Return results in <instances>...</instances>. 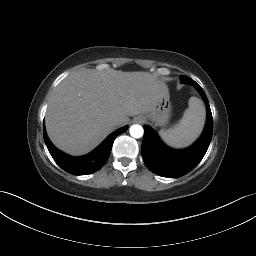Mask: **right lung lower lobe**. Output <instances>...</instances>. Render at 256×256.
Returning <instances> with one entry per match:
<instances>
[{"mask_svg": "<svg viewBox=\"0 0 256 256\" xmlns=\"http://www.w3.org/2000/svg\"><path fill=\"white\" fill-rule=\"evenodd\" d=\"M127 129V126H125L116 130L94 151L82 157H72L59 151L47 137L45 127H43V135L51 156L62 169L74 175H87L98 171L105 164L110 155L115 138L124 133Z\"/></svg>", "mask_w": 256, "mask_h": 256, "instance_id": "1", "label": "right lung lower lobe"}]
</instances>
